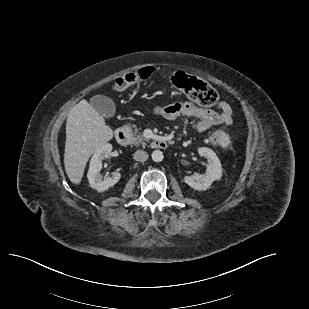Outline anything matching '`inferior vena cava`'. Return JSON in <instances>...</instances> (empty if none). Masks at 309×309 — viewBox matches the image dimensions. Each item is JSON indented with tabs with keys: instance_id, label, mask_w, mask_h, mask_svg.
Masks as SVG:
<instances>
[{
	"instance_id": "602c4592",
	"label": "inferior vena cava",
	"mask_w": 309,
	"mask_h": 309,
	"mask_svg": "<svg viewBox=\"0 0 309 309\" xmlns=\"http://www.w3.org/2000/svg\"><path fill=\"white\" fill-rule=\"evenodd\" d=\"M134 159L136 161L144 162L148 159V154H147V152H145L143 150H137L134 153Z\"/></svg>"
}]
</instances>
